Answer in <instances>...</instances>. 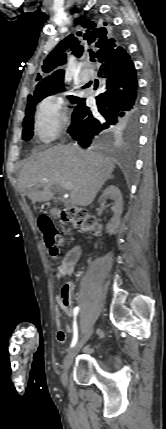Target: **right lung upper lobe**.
<instances>
[{"instance_id":"obj_1","label":"right lung upper lobe","mask_w":166,"mask_h":429,"mask_svg":"<svg viewBox=\"0 0 166 429\" xmlns=\"http://www.w3.org/2000/svg\"><path fill=\"white\" fill-rule=\"evenodd\" d=\"M86 27V26H84ZM79 37H75L72 34L62 40L56 48L47 56L44 60L42 70L45 73L53 71L56 67L66 62V51H72V54L80 57L84 51L83 44H92L97 47L95 56L99 62H103L109 59L116 58L120 52H124L123 47L118 45L115 38L110 36V33L104 31V28H93L88 27V30L84 34L78 33ZM41 79V75H37V81ZM64 81V70L53 71L49 76L42 79L40 84H56ZM37 85V86H38ZM30 95L28 96V98Z\"/></svg>"}]
</instances>
